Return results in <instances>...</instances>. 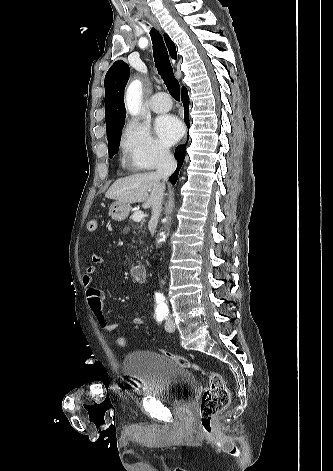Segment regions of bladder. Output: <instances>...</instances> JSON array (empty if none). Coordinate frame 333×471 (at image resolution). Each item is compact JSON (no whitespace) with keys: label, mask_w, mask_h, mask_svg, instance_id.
Segmentation results:
<instances>
[{"label":"bladder","mask_w":333,"mask_h":471,"mask_svg":"<svg viewBox=\"0 0 333 471\" xmlns=\"http://www.w3.org/2000/svg\"><path fill=\"white\" fill-rule=\"evenodd\" d=\"M122 372L137 380L138 392L167 405H179L197 388L194 375L162 353L139 350L127 354Z\"/></svg>","instance_id":"1"}]
</instances>
